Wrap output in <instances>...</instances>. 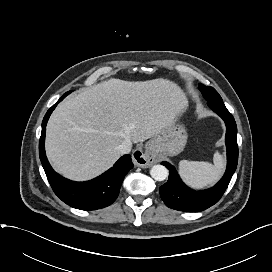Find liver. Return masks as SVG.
<instances>
[{"mask_svg":"<svg viewBox=\"0 0 272 272\" xmlns=\"http://www.w3.org/2000/svg\"><path fill=\"white\" fill-rule=\"evenodd\" d=\"M187 107L185 93L170 80L109 79L57 106L47 124V157L69 179L94 178L119 159L123 141L159 134Z\"/></svg>","mask_w":272,"mask_h":272,"instance_id":"6515ba94","label":"liver"}]
</instances>
